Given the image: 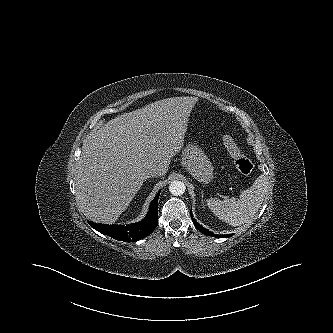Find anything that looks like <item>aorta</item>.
<instances>
[{
    "label": "aorta",
    "instance_id": "762f6f07",
    "mask_svg": "<svg viewBox=\"0 0 333 333\" xmlns=\"http://www.w3.org/2000/svg\"><path fill=\"white\" fill-rule=\"evenodd\" d=\"M186 190V186L182 181H173L169 185V191L174 196L182 195Z\"/></svg>",
    "mask_w": 333,
    "mask_h": 333
}]
</instances>
